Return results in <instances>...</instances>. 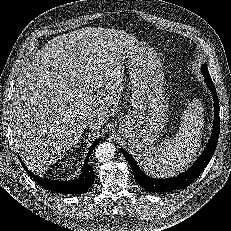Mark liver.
Here are the masks:
<instances>
[{"label": "liver", "mask_w": 231, "mask_h": 231, "mask_svg": "<svg viewBox=\"0 0 231 231\" xmlns=\"http://www.w3.org/2000/svg\"><path fill=\"white\" fill-rule=\"evenodd\" d=\"M124 31L84 27L48 41L20 72L12 96L15 147L32 170H45L79 142L88 119L99 125L123 90L120 54L138 47Z\"/></svg>", "instance_id": "6515ba94"}]
</instances>
